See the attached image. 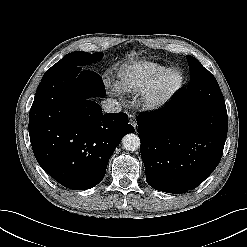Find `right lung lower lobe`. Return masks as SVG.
Here are the masks:
<instances>
[{"mask_svg":"<svg viewBox=\"0 0 247 247\" xmlns=\"http://www.w3.org/2000/svg\"><path fill=\"white\" fill-rule=\"evenodd\" d=\"M102 78L82 67L44 75L29 114L33 152L42 168L75 190L96 186L122 137L134 132L126 113L102 112Z\"/></svg>","mask_w":247,"mask_h":247,"instance_id":"1","label":"right lung lower lobe"}]
</instances>
